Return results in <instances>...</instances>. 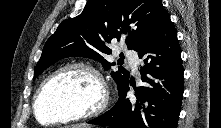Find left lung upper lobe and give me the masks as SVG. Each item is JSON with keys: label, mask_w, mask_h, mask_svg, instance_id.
Segmentation results:
<instances>
[{"label": "left lung upper lobe", "mask_w": 221, "mask_h": 128, "mask_svg": "<svg viewBox=\"0 0 221 128\" xmlns=\"http://www.w3.org/2000/svg\"><path fill=\"white\" fill-rule=\"evenodd\" d=\"M166 15L161 0H88L80 15L64 20L47 40L34 79L70 56L95 59L108 70L113 64L104 55L111 52L107 47L111 40H125L128 49L136 51ZM111 76L120 91L128 84L130 74L120 66Z\"/></svg>", "instance_id": "left-lung-upper-lobe-1"}]
</instances>
